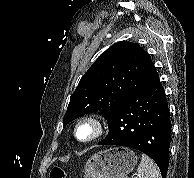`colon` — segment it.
Returning a JSON list of instances; mask_svg holds the SVG:
<instances>
[{
	"label": "colon",
	"mask_w": 194,
	"mask_h": 178,
	"mask_svg": "<svg viewBox=\"0 0 194 178\" xmlns=\"http://www.w3.org/2000/svg\"><path fill=\"white\" fill-rule=\"evenodd\" d=\"M66 176V171L61 166H54L50 171V178H66Z\"/></svg>",
	"instance_id": "colon-1"
}]
</instances>
